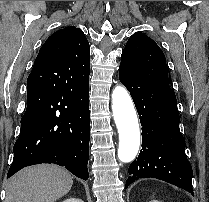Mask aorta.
I'll return each mask as SVG.
<instances>
[{"label":"aorta","mask_w":209,"mask_h":202,"mask_svg":"<svg viewBox=\"0 0 209 202\" xmlns=\"http://www.w3.org/2000/svg\"><path fill=\"white\" fill-rule=\"evenodd\" d=\"M112 110L119 133L118 158L121 162L133 161L140 146V129L133 101L121 85L112 92Z\"/></svg>","instance_id":"1"}]
</instances>
